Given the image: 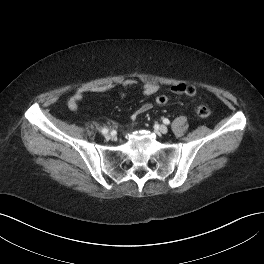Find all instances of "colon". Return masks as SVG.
I'll return each mask as SVG.
<instances>
[{
    "mask_svg": "<svg viewBox=\"0 0 264 264\" xmlns=\"http://www.w3.org/2000/svg\"><path fill=\"white\" fill-rule=\"evenodd\" d=\"M185 93L188 96H193L196 93V89L192 85H187L185 87ZM155 102L158 105H165L168 102V97L166 95H159L156 97ZM195 110L197 115L203 118L209 117L212 114V109L204 104H198Z\"/></svg>",
    "mask_w": 264,
    "mask_h": 264,
    "instance_id": "obj_1",
    "label": "colon"
}]
</instances>
